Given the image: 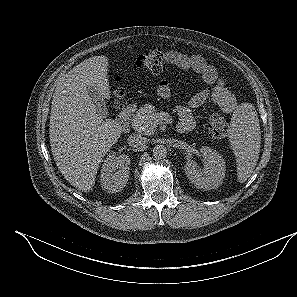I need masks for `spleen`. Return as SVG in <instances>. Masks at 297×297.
Returning a JSON list of instances; mask_svg holds the SVG:
<instances>
[{
    "instance_id": "spleen-1",
    "label": "spleen",
    "mask_w": 297,
    "mask_h": 297,
    "mask_svg": "<svg viewBox=\"0 0 297 297\" xmlns=\"http://www.w3.org/2000/svg\"><path fill=\"white\" fill-rule=\"evenodd\" d=\"M228 137L236 157L238 180L243 183L255 169L260 152L261 131L252 104L244 103L233 113Z\"/></svg>"
}]
</instances>
